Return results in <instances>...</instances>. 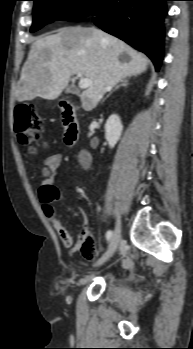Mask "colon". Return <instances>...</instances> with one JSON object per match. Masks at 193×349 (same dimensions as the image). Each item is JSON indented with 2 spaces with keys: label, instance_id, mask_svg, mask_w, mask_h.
<instances>
[{
  "label": "colon",
  "instance_id": "5ec220e1",
  "mask_svg": "<svg viewBox=\"0 0 193 349\" xmlns=\"http://www.w3.org/2000/svg\"><path fill=\"white\" fill-rule=\"evenodd\" d=\"M43 131L44 121L33 106L21 104L15 108V132L21 144L31 146L34 152L32 144L42 138Z\"/></svg>",
  "mask_w": 193,
  "mask_h": 349
}]
</instances>
